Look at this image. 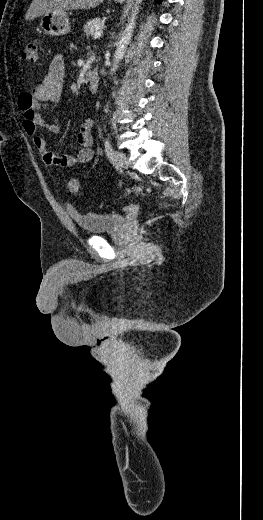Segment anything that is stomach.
Instances as JSON below:
<instances>
[{
  "instance_id": "1",
  "label": "stomach",
  "mask_w": 263,
  "mask_h": 520,
  "mask_svg": "<svg viewBox=\"0 0 263 520\" xmlns=\"http://www.w3.org/2000/svg\"><path fill=\"white\" fill-rule=\"evenodd\" d=\"M123 3L125 0H115ZM40 28L44 34L50 36L66 35L70 32L71 26L66 11H52L41 16Z\"/></svg>"
}]
</instances>
